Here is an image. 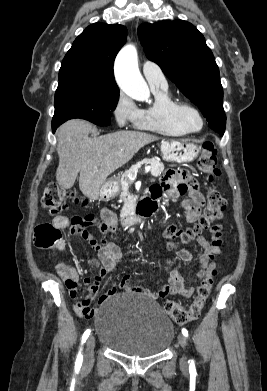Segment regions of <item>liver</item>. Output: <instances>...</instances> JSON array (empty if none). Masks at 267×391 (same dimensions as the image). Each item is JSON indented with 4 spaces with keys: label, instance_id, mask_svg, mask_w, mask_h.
Segmentation results:
<instances>
[{
    "label": "liver",
    "instance_id": "obj_1",
    "mask_svg": "<svg viewBox=\"0 0 267 391\" xmlns=\"http://www.w3.org/2000/svg\"><path fill=\"white\" fill-rule=\"evenodd\" d=\"M92 129V124L82 119L69 120L59 127L56 180L63 188L70 189L80 173L81 192L95 200L107 177L158 137L140 131H118L90 138Z\"/></svg>",
    "mask_w": 267,
    "mask_h": 391
}]
</instances>
